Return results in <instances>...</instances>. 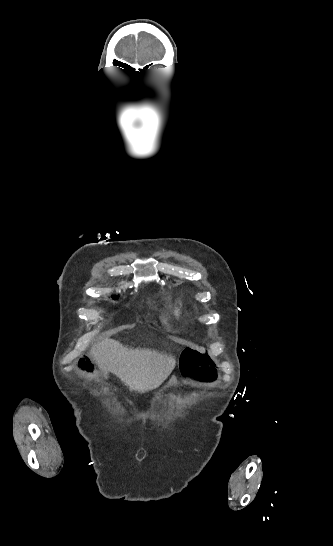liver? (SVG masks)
<instances>
[{
    "mask_svg": "<svg viewBox=\"0 0 333 546\" xmlns=\"http://www.w3.org/2000/svg\"><path fill=\"white\" fill-rule=\"evenodd\" d=\"M90 355L105 378L112 372L130 391L141 393L162 384L176 363L172 356L149 349L127 348L108 338L93 345Z\"/></svg>",
    "mask_w": 333,
    "mask_h": 546,
    "instance_id": "liver-1",
    "label": "liver"
}]
</instances>
